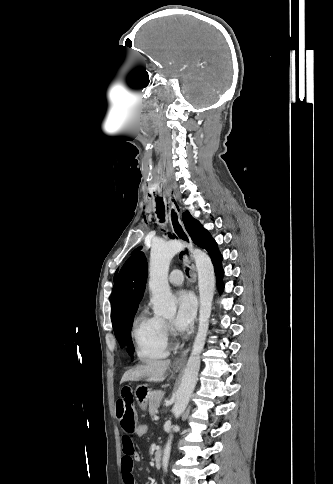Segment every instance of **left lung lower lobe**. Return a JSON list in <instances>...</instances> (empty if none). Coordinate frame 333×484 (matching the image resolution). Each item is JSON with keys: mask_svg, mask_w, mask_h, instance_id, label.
Segmentation results:
<instances>
[{"mask_svg": "<svg viewBox=\"0 0 333 484\" xmlns=\"http://www.w3.org/2000/svg\"><path fill=\"white\" fill-rule=\"evenodd\" d=\"M201 244L202 245L199 246V247L206 249L208 251L211 259H212V262L214 264L215 274H216L217 278L220 279L217 282V286H218L219 292H222L223 289H224V285H223V282H222V277L224 275V271H223L222 263H221L222 262V255L220 254V252L217 248V243L210 236V234L207 230L204 233Z\"/></svg>", "mask_w": 333, "mask_h": 484, "instance_id": "0a47b994", "label": "left lung lower lobe"}]
</instances>
